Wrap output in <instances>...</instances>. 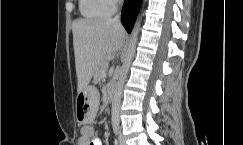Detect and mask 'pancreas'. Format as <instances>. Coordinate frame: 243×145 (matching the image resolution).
<instances>
[{"label": "pancreas", "instance_id": "pancreas-1", "mask_svg": "<svg viewBox=\"0 0 243 145\" xmlns=\"http://www.w3.org/2000/svg\"><path fill=\"white\" fill-rule=\"evenodd\" d=\"M107 67H108V62L105 59L101 60L99 63V67L95 73L96 81H100L102 79L103 75H105L106 73Z\"/></svg>", "mask_w": 243, "mask_h": 145}]
</instances>
